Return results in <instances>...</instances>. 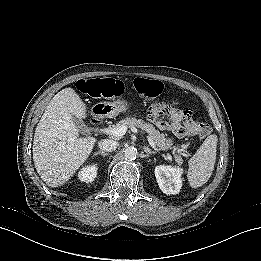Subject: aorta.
<instances>
[{"label":"aorta","mask_w":261,"mask_h":261,"mask_svg":"<svg viewBox=\"0 0 261 261\" xmlns=\"http://www.w3.org/2000/svg\"><path fill=\"white\" fill-rule=\"evenodd\" d=\"M137 155H138L137 150L134 147H128L124 150V158L126 160H130V161L135 160Z\"/></svg>","instance_id":"762f6f07"}]
</instances>
